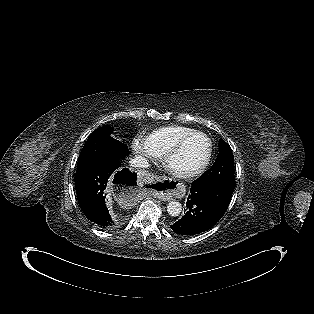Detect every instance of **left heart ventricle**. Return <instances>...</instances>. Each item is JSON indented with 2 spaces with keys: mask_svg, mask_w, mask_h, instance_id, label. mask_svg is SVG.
<instances>
[{
  "mask_svg": "<svg viewBox=\"0 0 314 314\" xmlns=\"http://www.w3.org/2000/svg\"><path fill=\"white\" fill-rule=\"evenodd\" d=\"M208 154V142L202 136L189 139L181 152L172 159V166L179 171H190L199 167Z\"/></svg>",
  "mask_w": 314,
  "mask_h": 314,
  "instance_id": "b2bd125f",
  "label": "left heart ventricle"
}]
</instances>
